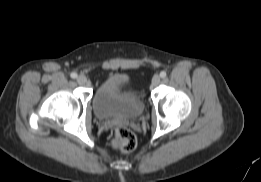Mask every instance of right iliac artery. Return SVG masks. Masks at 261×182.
<instances>
[{"label":"right iliac artery","mask_w":261,"mask_h":182,"mask_svg":"<svg viewBox=\"0 0 261 182\" xmlns=\"http://www.w3.org/2000/svg\"><path fill=\"white\" fill-rule=\"evenodd\" d=\"M70 76H71V78L75 79V78H77V73L72 72V73L70 74Z\"/></svg>","instance_id":"82829eb1"}]
</instances>
